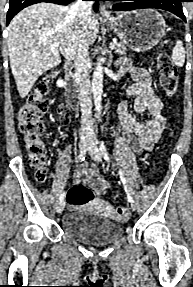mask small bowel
I'll return each instance as SVG.
<instances>
[{"label": "small bowel", "mask_w": 193, "mask_h": 287, "mask_svg": "<svg viewBox=\"0 0 193 287\" xmlns=\"http://www.w3.org/2000/svg\"><path fill=\"white\" fill-rule=\"evenodd\" d=\"M134 83L127 89L126 95L135 97L133 111L125 101L118 105V116L122 134L127 146L136 153L147 154L156 142L165 126L163 102L151 87L149 74L142 70H132ZM70 119V114L67 113ZM75 182L91 187L97 194L105 193L109 183L99 174L97 165L89 166L87 162L79 164L75 170Z\"/></svg>", "instance_id": "small-bowel-1"}]
</instances>
